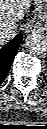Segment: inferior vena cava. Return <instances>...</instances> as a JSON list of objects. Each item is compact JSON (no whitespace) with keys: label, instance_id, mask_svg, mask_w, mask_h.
Listing matches in <instances>:
<instances>
[{"label":"inferior vena cava","instance_id":"602c4592","mask_svg":"<svg viewBox=\"0 0 47 129\" xmlns=\"http://www.w3.org/2000/svg\"><path fill=\"white\" fill-rule=\"evenodd\" d=\"M16 35V29L10 27V28H5V29H2L0 31V39L2 41H9L11 39H13Z\"/></svg>","mask_w":47,"mask_h":129}]
</instances>
